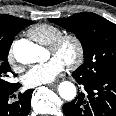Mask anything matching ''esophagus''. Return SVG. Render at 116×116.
<instances>
[{"label":"esophagus","mask_w":116,"mask_h":116,"mask_svg":"<svg viewBox=\"0 0 116 116\" xmlns=\"http://www.w3.org/2000/svg\"><path fill=\"white\" fill-rule=\"evenodd\" d=\"M57 84L56 83H50V84H48L47 86L48 87H55Z\"/></svg>","instance_id":"34e87169"}]
</instances>
